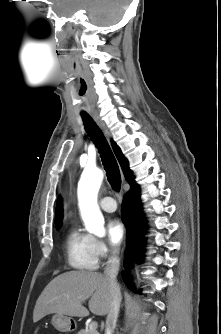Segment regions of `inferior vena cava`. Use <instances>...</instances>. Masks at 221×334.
Listing matches in <instances>:
<instances>
[{
	"label": "inferior vena cava",
	"mask_w": 221,
	"mask_h": 334,
	"mask_svg": "<svg viewBox=\"0 0 221 334\" xmlns=\"http://www.w3.org/2000/svg\"><path fill=\"white\" fill-rule=\"evenodd\" d=\"M117 255L118 249L115 248L113 249L112 255L109 257L104 268V276L110 283V292L112 297L110 309L106 318L107 334H111V332L115 329L121 302L120 287L116 280L120 267V260Z\"/></svg>",
	"instance_id": "obj_1"
}]
</instances>
